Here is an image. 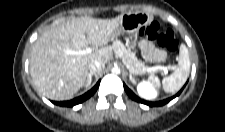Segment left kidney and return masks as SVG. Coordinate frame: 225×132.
I'll return each instance as SVG.
<instances>
[{"instance_id":"left-kidney-1","label":"left kidney","mask_w":225,"mask_h":132,"mask_svg":"<svg viewBox=\"0 0 225 132\" xmlns=\"http://www.w3.org/2000/svg\"><path fill=\"white\" fill-rule=\"evenodd\" d=\"M137 92L140 97L150 100L157 96V92L153 88L152 84L149 82L143 81L137 85Z\"/></svg>"}]
</instances>
